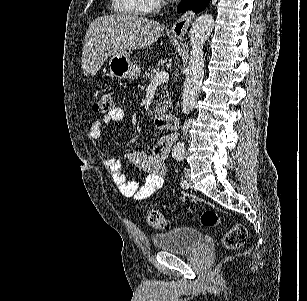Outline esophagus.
Segmentation results:
<instances>
[{
  "label": "esophagus",
  "mask_w": 307,
  "mask_h": 301,
  "mask_svg": "<svg viewBox=\"0 0 307 301\" xmlns=\"http://www.w3.org/2000/svg\"><path fill=\"white\" fill-rule=\"evenodd\" d=\"M194 18L193 12H186L184 13L173 25L171 29L172 35L175 38L181 40L183 39L184 35L187 33L188 28Z\"/></svg>",
  "instance_id": "obj_1"
}]
</instances>
